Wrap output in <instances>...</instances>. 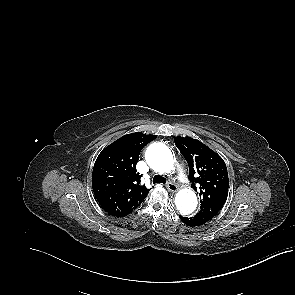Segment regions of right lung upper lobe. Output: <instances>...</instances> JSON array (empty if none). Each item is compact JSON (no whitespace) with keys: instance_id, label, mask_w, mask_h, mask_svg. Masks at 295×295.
I'll list each match as a JSON object with an SVG mask.
<instances>
[{"instance_id":"right-lung-upper-lobe-1","label":"right lung upper lobe","mask_w":295,"mask_h":295,"mask_svg":"<svg viewBox=\"0 0 295 295\" xmlns=\"http://www.w3.org/2000/svg\"><path fill=\"white\" fill-rule=\"evenodd\" d=\"M156 136L131 133L122 136L97 157L92 187L101 207L116 217H124L135 210L149 193L141 184L136 164L141 149Z\"/></svg>"}]
</instances>
